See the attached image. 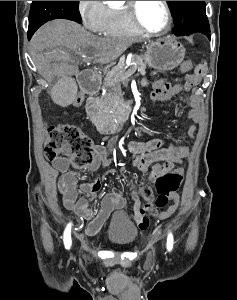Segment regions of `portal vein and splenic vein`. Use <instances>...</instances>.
I'll use <instances>...</instances> for the list:
<instances>
[{"mask_svg":"<svg viewBox=\"0 0 237 300\" xmlns=\"http://www.w3.org/2000/svg\"><path fill=\"white\" fill-rule=\"evenodd\" d=\"M135 66H132V68L130 67L128 70H126V73L127 74H124V75H127V76H132V73H134L135 72ZM122 81H124L126 78L123 76L122 78Z\"/></svg>","mask_w":237,"mask_h":300,"instance_id":"portal-vein-and-splenic-vein-1","label":"portal vein and splenic vein"}]
</instances>
